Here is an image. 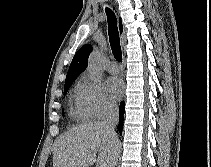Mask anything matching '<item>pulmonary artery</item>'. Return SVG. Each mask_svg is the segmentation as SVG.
Returning a JSON list of instances; mask_svg holds the SVG:
<instances>
[{
  "label": "pulmonary artery",
  "mask_w": 211,
  "mask_h": 167,
  "mask_svg": "<svg viewBox=\"0 0 211 167\" xmlns=\"http://www.w3.org/2000/svg\"><path fill=\"white\" fill-rule=\"evenodd\" d=\"M108 71L111 74H117L119 72V66L116 62H111L108 66Z\"/></svg>",
  "instance_id": "pulmonary-artery-1"
}]
</instances>
